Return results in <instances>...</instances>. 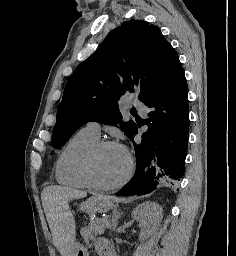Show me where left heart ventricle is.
Listing matches in <instances>:
<instances>
[{
  "label": "left heart ventricle",
  "instance_id": "obj_1",
  "mask_svg": "<svg viewBox=\"0 0 236 256\" xmlns=\"http://www.w3.org/2000/svg\"><path fill=\"white\" fill-rule=\"evenodd\" d=\"M127 169L126 153L117 146L103 150L95 162L97 180L103 185H111L119 181Z\"/></svg>",
  "mask_w": 236,
  "mask_h": 256
}]
</instances>
